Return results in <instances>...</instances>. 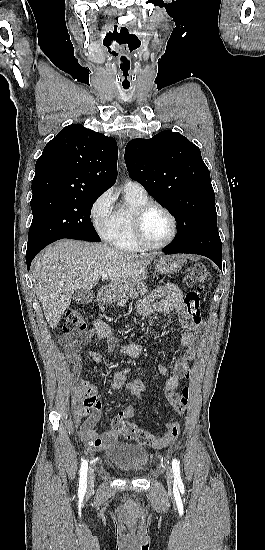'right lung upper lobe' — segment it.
<instances>
[{"label": "right lung upper lobe", "instance_id": "obj_1", "mask_svg": "<svg viewBox=\"0 0 265 550\" xmlns=\"http://www.w3.org/2000/svg\"><path fill=\"white\" fill-rule=\"evenodd\" d=\"M117 143L81 124L63 128L36 162L33 194L101 195L117 176Z\"/></svg>", "mask_w": 265, "mask_h": 550}]
</instances>
